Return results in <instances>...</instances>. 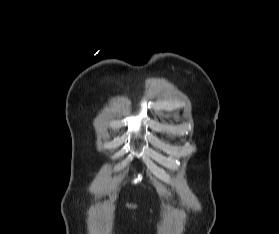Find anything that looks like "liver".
<instances>
[{"instance_id": "liver-1", "label": "liver", "mask_w": 279, "mask_h": 234, "mask_svg": "<svg viewBox=\"0 0 279 234\" xmlns=\"http://www.w3.org/2000/svg\"><path fill=\"white\" fill-rule=\"evenodd\" d=\"M127 207H128V208L135 209L137 206H136V205H132V204H127Z\"/></svg>"}]
</instances>
